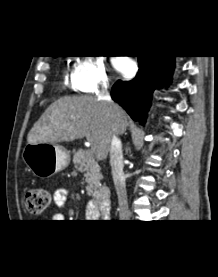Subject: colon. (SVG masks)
Returning <instances> with one entry per match:
<instances>
[{"mask_svg":"<svg viewBox=\"0 0 218 277\" xmlns=\"http://www.w3.org/2000/svg\"><path fill=\"white\" fill-rule=\"evenodd\" d=\"M23 203L31 214H41L50 203V193L42 187L27 189L23 194Z\"/></svg>","mask_w":218,"mask_h":277,"instance_id":"1","label":"colon"}]
</instances>
